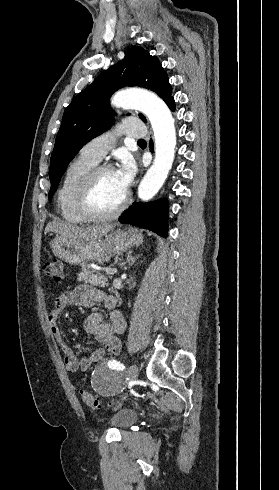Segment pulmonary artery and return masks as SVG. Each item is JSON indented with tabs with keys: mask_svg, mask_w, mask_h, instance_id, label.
Instances as JSON below:
<instances>
[{
	"mask_svg": "<svg viewBox=\"0 0 279 490\" xmlns=\"http://www.w3.org/2000/svg\"><path fill=\"white\" fill-rule=\"evenodd\" d=\"M146 124L140 122L139 117H126L123 122H112L108 135L117 137L119 131H125L132 140H143ZM107 136H96L87 141L80 150V155L97 164L113 146L114 140Z\"/></svg>",
	"mask_w": 279,
	"mask_h": 490,
	"instance_id": "pulmonary-artery-1",
	"label": "pulmonary artery"
}]
</instances>
